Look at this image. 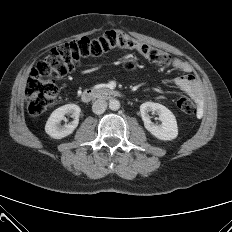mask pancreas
<instances>
[{"instance_id": "1", "label": "pancreas", "mask_w": 232, "mask_h": 232, "mask_svg": "<svg viewBox=\"0 0 232 232\" xmlns=\"http://www.w3.org/2000/svg\"><path fill=\"white\" fill-rule=\"evenodd\" d=\"M104 91H105V89H99V90H97V92H99V93L104 92Z\"/></svg>"}]
</instances>
